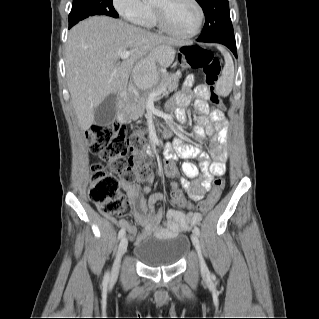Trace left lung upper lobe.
Returning a JSON list of instances; mask_svg holds the SVG:
<instances>
[{"label": "left lung upper lobe", "instance_id": "5c2ea615", "mask_svg": "<svg viewBox=\"0 0 319 319\" xmlns=\"http://www.w3.org/2000/svg\"><path fill=\"white\" fill-rule=\"evenodd\" d=\"M205 14V25L199 42L235 41L228 0H196Z\"/></svg>", "mask_w": 319, "mask_h": 319}]
</instances>
